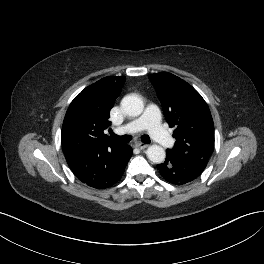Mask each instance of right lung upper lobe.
Returning a JSON list of instances; mask_svg holds the SVG:
<instances>
[{
    "mask_svg": "<svg viewBox=\"0 0 264 264\" xmlns=\"http://www.w3.org/2000/svg\"><path fill=\"white\" fill-rule=\"evenodd\" d=\"M125 80L123 76L102 78L82 90L71 102L61 132L65 156L122 145L111 140L103 131L111 124L109 113Z\"/></svg>",
    "mask_w": 264,
    "mask_h": 264,
    "instance_id": "cb5924a9",
    "label": "right lung upper lobe"
}]
</instances>
